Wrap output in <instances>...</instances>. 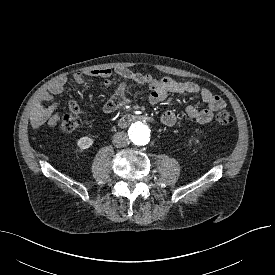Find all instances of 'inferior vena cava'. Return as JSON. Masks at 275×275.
<instances>
[{"instance_id":"1","label":"inferior vena cava","mask_w":275,"mask_h":275,"mask_svg":"<svg viewBox=\"0 0 275 275\" xmlns=\"http://www.w3.org/2000/svg\"><path fill=\"white\" fill-rule=\"evenodd\" d=\"M113 145L117 148L125 147L129 143V138L124 132H117L113 136Z\"/></svg>"}]
</instances>
